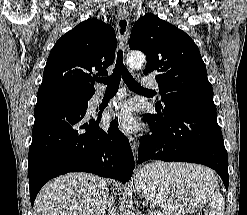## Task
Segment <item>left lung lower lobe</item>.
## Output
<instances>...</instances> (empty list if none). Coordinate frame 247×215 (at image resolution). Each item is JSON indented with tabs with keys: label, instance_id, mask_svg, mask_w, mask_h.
Here are the masks:
<instances>
[{
	"label": "left lung lower lobe",
	"instance_id": "obj_1",
	"mask_svg": "<svg viewBox=\"0 0 247 215\" xmlns=\"http://www.w3.org/2000/svg\"><path fill=\"white\" fill-rule=\"evenodd\" d=\"M145 115L152 135L140 139L138 163L155 159L190 162L214 169L228 189V155L216 110L188 107Z\"/></svg>",
	"mask_w": 247,
	"mask_h": 215
}]
</instances>
